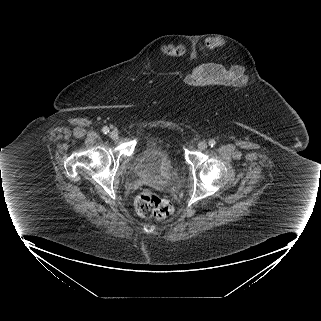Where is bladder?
<instances>
[{
	"label": "bladder",
	"mask_w": 321,
	"mask_h": 321,
	"mask_svg": "<svg viewBox=\"0 0 321 321\" xmlns=\"http://www.w3.org/2000/svg\"><path fill=\"white\" fill-rule=\"evenodd\" d=\"M166 142L150 141L139 152L132 164V171L147 179H161L171 174L177 166L166 150Z\"/></svg>",
	"instance_id": "obj_1"
}]
</instances>
